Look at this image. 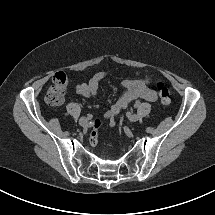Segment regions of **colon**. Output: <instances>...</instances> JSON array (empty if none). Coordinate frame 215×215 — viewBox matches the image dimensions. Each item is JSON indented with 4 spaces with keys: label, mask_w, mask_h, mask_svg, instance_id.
<instances>
[{
    "label": "colon",
    "mask_w": 215,
    "mask_h": 215,
    "mask_svg": "<svg viewBox=\"0 0 215 215\" xmlns=\"http://www.w3.org/2000/svg\"><path fill=\"white\" fill-rule=\"evenodd\" d=\"M68 85V77L65 73L59 72L53 77V84L49 87L45 95V101L51 106H58L64 102L65 99V89ZM156 88L159 94L160 102L163 105H168L171 102V92L162 83L158 82ZM98 123L90 134V143L95 145L98 141L97 128Z\"/></svg>",
    "instance_id": "5ec220e1"
}]
</instances>
